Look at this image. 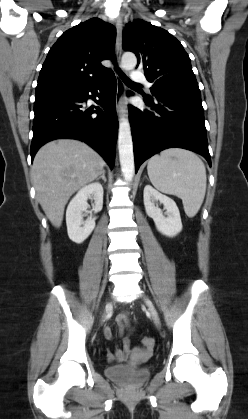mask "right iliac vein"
Masks as SVG:
<instances>
[{"label": "right iliac vein", "instance_id": "63e3f726", "mask_svg": "<svg viewBox=\"0 0 248 419\" xmlns=\"http://www.w3.org/2000/svg\"><path fill=\"white\" fill-rule=\"evenodd\" d=\"M111 307H112V304L110 302H108L105 306L106 313L111 309ZM104 317H105V314H104Z\"/></svg>", "mask_w": 248, "mask_h": 419}]
</instances>
